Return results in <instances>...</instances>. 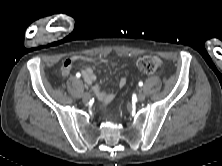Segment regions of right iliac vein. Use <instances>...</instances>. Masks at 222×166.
I'll return each instance as SVG.
<instances>
[{"instance_id":"obj_1","label":"right iliac vein","mask_w":222,"mask_h":166,"mask_svg":"<svg viewBox=\"0 0 222 166\" xmlns=\"http://www.w3.org/2000/svg\"><path fill=\"white\" fill-rule=\"evenodd\" d=\"M82 99L84 101H88L90 99V93L88 92H85L83 95H82Z\"/></svg>"}]
</instances>
